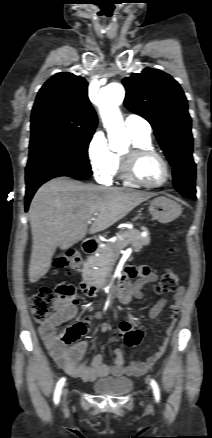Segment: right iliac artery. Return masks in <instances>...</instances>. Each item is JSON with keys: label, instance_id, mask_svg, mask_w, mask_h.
Masks as SVG:
<instances>
[{"label": "right iliac artery", "instance_id": "right-iliac-artery-1", "mask_svg": "<svg viewBox=\"0 0 212 438\" xmlns=\"http://www.w3.org/2000/svg\"><path fill=\"white\" fill-rule=\"evenodd\" d=\"M65 380H66L65 378H61L56 385V389H55L54 397H53L55 404H58V402L60 400L61 390H62V387L65 383Z\"/></svg>", "mask_w": 212, "mask_h": 438}]
</instances>
